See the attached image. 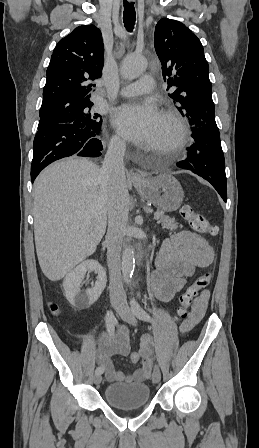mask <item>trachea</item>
Listing matches in <instances>:
<instances>
[{"label": "trachea", "instance_id": "trachea-1", "mask_svg": "<svg viewBox=\"0 0 259 448\" xmlns=\"http://www.w3.org/2000/svg\"><path fill=\"white\" fill-rule=\"evenodd\" d=\"M124 1V13H123V20H124V26L128 32H132L135 25L136 20V13L133 3L127 2V0Z\"/></svg>", "mask_w": 259, "mask_h": 448}]
</instances>
